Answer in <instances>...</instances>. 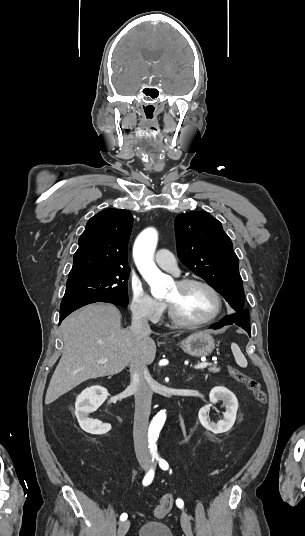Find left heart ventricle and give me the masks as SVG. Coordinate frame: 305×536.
<instances>
[{"label":"left heart ventricle","mask_w":305,"mask_h":536,"mask_svg":"<svg viewBox=\"0 0 305 536\" xmlns=\"http://www.w3.org/2000/svg\"><path fill=\"white\" fill-rule=\"evenodd\" d=\"M187 320L204 321L214 315L219 308L217 296L207 287L193 285L180 288L175 285L165 297Z\"/></svg>","instance_id":"left-heart-ventricle-1"}]
</instances>
